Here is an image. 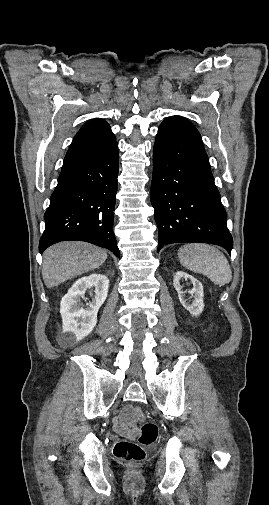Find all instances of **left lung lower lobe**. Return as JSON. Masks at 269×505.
I'll list each match as a JSON object with an SVG mask.
<instances>
[{"label":"left lung lower lobe","instance_id":"1","mask_svg":"<svg viewBox=\"0 0 269 505\" xmlns=\"http://www.w3.org/2000/svg\"><path fill=\"white\" fill-rule=\"evenodd\" d=\"M150 200L158 251L171 243L203 242L233 248L226 212L198 130L180 116L159 126L153 152Z\"/></svg>","mask_w":269,"mask_h":505}]
</instances>
